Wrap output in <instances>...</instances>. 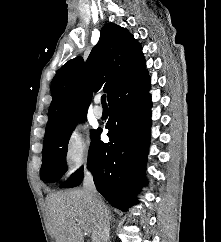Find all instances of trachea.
Wrapping results in <instances>:
<instances>
[{"mask_svg":"<svg viewBox=\"0 0 221 242\" xmlns=\"http://www.w3.org/2000/svg\"><path fill=\"white\" fill-rule=\"evenodd\" d=\"M101 103H102V106H107V103H106V95H102L101 97Z\"/></svg>","mask_w":221,"mask_h":242,"instance_id":"3493384b","label":"trachea"}]
</instances>
